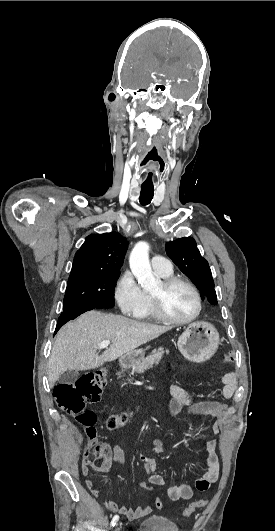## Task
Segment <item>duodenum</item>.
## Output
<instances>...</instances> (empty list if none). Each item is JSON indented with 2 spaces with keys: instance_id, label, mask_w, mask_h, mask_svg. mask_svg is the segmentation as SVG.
<instances>
[{
  "instance_id": "obj_1",
  "label": "duodenum",
  "mask_w": 275,
  "mask_h": 531,
  "mask_svg": "<svg viewBox=\"0 0 275 531\" xmlns=\"http://www.w3.org/2000/svg\"><path fill=\"white\" fill-rule=\"evenodd\" d=\"M129 362H130V359L127 356L123 355L119 358L118 364L120 367H123V366L128 365Z\"/></svg>"
}]
</instances>
